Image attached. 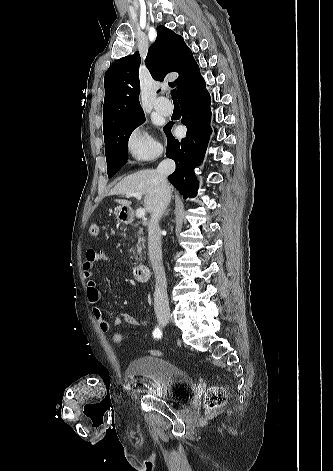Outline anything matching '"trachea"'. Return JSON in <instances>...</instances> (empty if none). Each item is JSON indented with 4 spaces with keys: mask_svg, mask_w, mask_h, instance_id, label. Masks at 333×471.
<instances>
[{
    "mask_svg": "<svg viewBox=\"0 0 333 471\" xmlns=\"http://www.w3.org/2000/svg\"><path fill=\"white\" fill-rule=\"evenodd\" d=\"M171 97H172L173 102H177L176 90L175 89L171 91Z\"/></svg>",
    "mask_w": 333,
    "mask_h": 471,
    "instance_id": "1",
    "label": "trachea"
}]
</instances>
